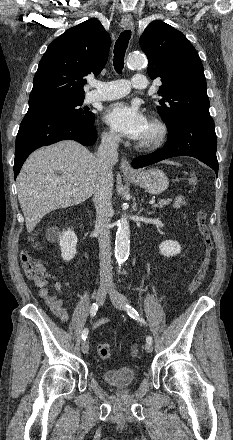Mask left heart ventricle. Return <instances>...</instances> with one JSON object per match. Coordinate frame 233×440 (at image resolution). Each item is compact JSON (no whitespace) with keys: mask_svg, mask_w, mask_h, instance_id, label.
I'll list each match as a JSON object with an SVG mask.
<instances>
[{"mask_svg":"<svg viewBox=\"0 0 233 440\" xmlns=\"http://www.w3.org/2000/svg\"><path fill=\"white\" fill-rule=\"evenodd\" d=\"M154 134H155L154 128L152 126H150L148 123V126H147L141 139H150L154 136Z\"/></svg>","mask_w":233,"mask_h":440,"instance_id":"left-heart-ventricle-1","label":"left heart ventricle"}]
</instances>
